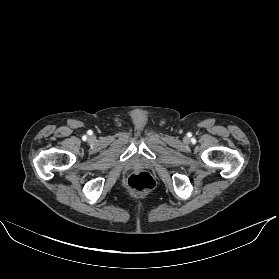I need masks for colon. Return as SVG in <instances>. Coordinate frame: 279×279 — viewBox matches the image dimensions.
<instances>
[{
  "label": "colon",
  "mask_w": 279,
  "mask_h": 279,
  "mask_svg": "<svg viewBox=\"0 0 279 279\" xmlns=\"http://www.w3.org/2000/svg\"><path fill=\"white\" fill-rule=\"evenodd\" d=\"M128 188L136 194H147L154 186L155 181L153 177L145 172L131 175L127 182Z\"/></svg>",
  "instance_id": "obj_1"
}]
</instances>
